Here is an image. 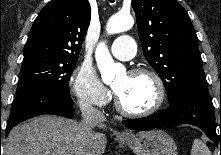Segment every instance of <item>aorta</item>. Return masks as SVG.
<instances>
[{
  "label": "aorta",
  "mask_w": 221,
  "mask_h": 155,
  "mask_svg": "<svg viewBox=\"0 0 221 155\" xmlns=\"http://www.w3.org/2000/svg\"><path fill=\"white\" fill-rule=\"evenodd\" d=\"M134 25V19L131 15L116 14L110 18L107 23V32L115 34L127 31ZM97 66L100 70L102 81L106 84L111 83L120 69L112 59L109 50L104 43H100L95 52Z\"/></svg>",
  "instance_id": "obj_1"
}]
</instances>
